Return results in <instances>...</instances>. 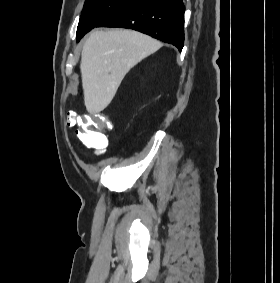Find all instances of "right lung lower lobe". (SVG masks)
<instances>
[{
  "label": "right lung lower lobe",
  "instance_id": "right-lung-lower-lobe-1",
  "mask_svg": "<svg viewBox=\"0 0 280 283\" xmlns=\"http://www.w3.org/2000/svg\"><path fill=\"white\" fill-rule=\"evenodd\" d=\"M182 0H135L104 19L97 27H121L148 34L179 51L184 44Z\"/></svg>",
  "mask_w": 280,
  "mask_h": 283
}]
</instances>
